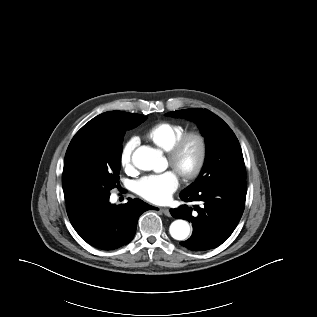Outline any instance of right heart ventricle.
Listing matches in <instances>:
<instances>
[{
	"instance_id": "e07e8e85",
	"label": "right heart ventricle",
	"mask_w": 317,
	"mask_h": 317,
	"mask_svg": "<svg viewBox=\"0 0 317 317\" xmlns=\"http://www.w3.org/2000/svg\"><path fill=\"white\" fill-rule=\"evenodd\" d=\"M186 132V128L174 122H160L146 131V137L164 151H169L178 139Z\"/></svg>"
}]
</instances>
